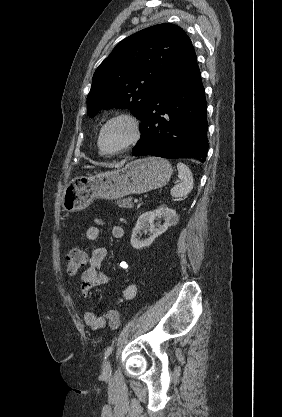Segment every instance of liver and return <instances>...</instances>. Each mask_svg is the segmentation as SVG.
<instances>
[{
  "label": "liver",
  "mask_w": 282,
  "mask_h": 417,
  "mask_svg": "<svg viewBox=\"0 0 282 417\" xmlns=\"http://www.w3.org/2000/svg\"><path fill=\"white\" fill-rule=\"evenodd\" d=\"M86 168H92V166H86Z\"/></svg>",
  "instance_id": "1"
}]
</instances>
